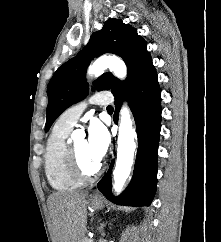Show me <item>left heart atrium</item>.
<instances>
[{
  "mask_svg": "<svg viewBox=\"0 0 221 242\" xmlns=\"http://www.w3.org/2000/svg\"><path fill=\"white\" fill-rule=\"evenodd\" d=\"M86 143L90 156L100 162L109 147L110 135L107 128L99 120L94 119L90 122Z\"/></svg>",
  "mask_w": 221,
  "mask_h": 242,
  "instance_id": "left-heart-atrium-1",
  "label": "left heart atrium"
}]
</instances>
